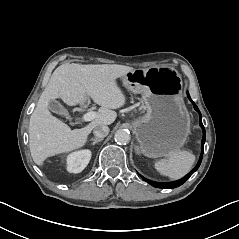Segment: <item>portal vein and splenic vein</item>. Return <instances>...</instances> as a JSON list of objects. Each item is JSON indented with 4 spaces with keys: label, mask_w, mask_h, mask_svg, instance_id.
I'll use <instances>...</instances> for the list:
<instances>
[{
    "label": "portal vein and splenic vein",
    "mask_w": 239,
    "mask_h": 239,
    "mask_svg": "<svg viewBox=\"0 0 239 239\" xmlns=\"http://www.w3.org/2000/svg\"><path fill=\"white\" fill-rule=\"evenodd\" d=\"M96 116H97L96 112L91 111V112H88V113L84 114L83 119L86 122L87 121H92L96 118Z\"/></svg>",
    "instance_id": "1"
}]
</instances>
